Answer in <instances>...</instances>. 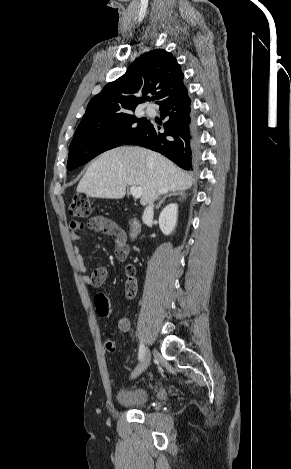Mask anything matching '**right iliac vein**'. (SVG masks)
I'll return each mask as SVG.
<instances>
[{
  "label": "right iliac vein",
  "instance_id": "1",
  "mask_svg": "<svg viewBox=\"0 0 291 469\" xmlns=\"http://www.w3.org/2000/svg\"><path fill=\"white\" fill-rule=\"evenodd\" d=\"M151 360V353L150 350L146 347L144 355L139 363V365L135 368V370L131 374V378L138 377L141 373H143L150 364Z\"/></svg>",
  "mask_w": 291,
  "mask_h": 469
}]
</instances>
